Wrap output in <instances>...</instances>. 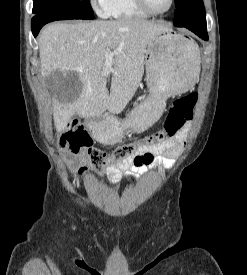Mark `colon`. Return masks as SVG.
<instances>
[{"instance_id": "5ec220e1", "label": "colon", "mask_w": 247, "mask_h": 275, "mask_svg": "<svg viewBox=\"0 0 247 275\" xmlns=\"http://www.w3.org/2000/svg\"><path fill=\"white\" fill-rule=\"evenodd\" d=\"M197 99L196 93L175 99L160 130L139 141L118 146L111 157H108L103 150L93 147V140L88 131L77 121H74L64 130L59 137L58 144L62 149L76 153L85 150L84 161L89 164L93 171L101 170L109 162H121L129 158L139 161L138 152L141 148L161 143L175 136L192 119Z\"/></svg>"}]
</instances>
